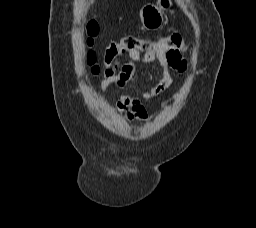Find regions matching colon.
<instances>
[{
  "mask_svg": "<svg viewBox=\"0 0 256 228\" xmlns=\"http://www.w3.org/2000/svg\"><path fill=\"white\" fill-rule=\"evenodd\" d=\"M99 33V25L96 21L92 20L87 25V44L92 47L95 42V38ZM166 45L173 50H178L184 52L186 50V45L184 39L179 34H173L166 37ZM158 48L157 42H147L144 40H139L135 37H124L119 41L111 42L105 49L103 62L105 64H115L118 59L130 50H153ZM87 63L91 67L93 74H99L102 68L96 63V53L93 50H89L87 53ZM103 65V69H104Z\"/></svg>",
  "mask_w": 256,
  "mask_h": 228,
  "instance_id": "1",
  "label": "colon"
}]
</instances>
